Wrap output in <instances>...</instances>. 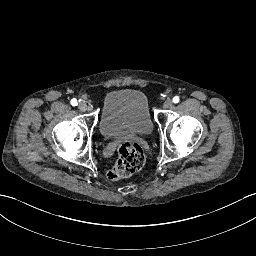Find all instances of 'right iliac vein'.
Instances as JSON below:
<instances>
[{"instance_id":"right-iliac-vein-1","label":"right iliac vein","mask_w":256,"mask_h":256,"mask_svg":"<svg viewBox=\"0 0 256 256\" xmlns=\"http://www.w3.org/2000/svg\"><path fill=\"white\" fill-rule=\"evenodd\" d=\"M78 108L80 111L85 112L87 110V104L85 102H80Z\"/></svg>"}]
</instances>
